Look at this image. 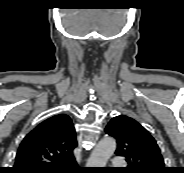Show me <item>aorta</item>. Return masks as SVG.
Masks as SVG:
<instances>
[{
  "instance_id": "aorta-1",
  "label": "aorta",
  "mask_w": 184,
  "mask_h": 173,
  "mask_svg": "<svg viewBox=\"0 0 184 173\" xmlns=\"http://www.w3.org/2000/svg\"><path fill=\"white\" fill-rule=\"evenodd\" d=\"M116 150V141L112 137H105L98 142L91 153L87 165L88 167H105L110 157Z\"/></svg>"
}]
</instances>
